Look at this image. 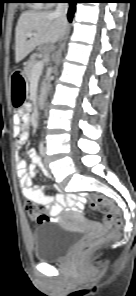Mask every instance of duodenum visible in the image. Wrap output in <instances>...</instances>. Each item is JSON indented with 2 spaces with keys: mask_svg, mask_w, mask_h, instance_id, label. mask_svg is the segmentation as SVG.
I'll return each mask as SVG.
<instances>
[{
  "mask_svg": "<svg viewBox=\"0 0 136 296\" xmlns=\"http://www.w3.org/2000/svg\"><path fill=\"white\" fill-rule=\"evenodd\" d=\"M37 104L40 106L43 104V98L42 97H39L38 100H37Z\"/></svg>",
  "mask_w": 136,
  "mask_h": 296,
  "instance_id": "1",
  "label": "duodenum"
}]
</instances>
